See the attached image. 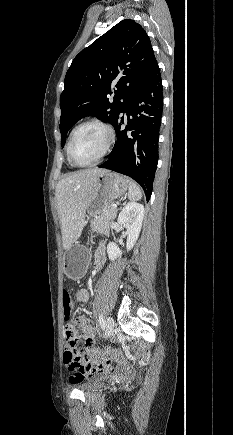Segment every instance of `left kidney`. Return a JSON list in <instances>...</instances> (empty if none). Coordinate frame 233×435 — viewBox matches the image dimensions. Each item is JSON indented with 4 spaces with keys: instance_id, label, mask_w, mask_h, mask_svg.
Instances as JSON below:
<instances>
[{
    "instance_id": "left-kidney-1",
    "label": "left kidney",
    "mask_w": 233,
    "mask_h": 435,
    "mask_svg": "<svg viewBox=\"0 0 233 435\" xmlns=\"http://www.w3.org/2000/svg\"><path fill=\"white\" fill-rule=\"evenodd\" d=\"M143 217H144V206L137 202L127 203L119 213L118 223L123 225L124 228H126L127 251L133 248V246L135 245L139 237V233L142 227ZM107 253L111 261H114L115 259H117L122 255V251L120 250L118 245L114 242H109V244L107 245Z\"/></svg>"
}]
</instances>
